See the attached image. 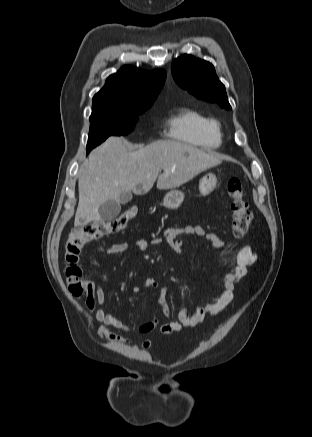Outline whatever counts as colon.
<instances>
[{
    "mask_svg": "<svg viewBox=\"0 0 312 437\" xmlns=\"http://www.w3.org/2000/svg\"><path fill=\"white\" fill-rule=\"evenodd\" d=\"M227 194L231 201L232 230L237 238L244 237L252 223V215L244 198L242 181L233 177L227 184ZM137 214V208L130 206L109 220H95L75 228L68 236L63 249L67 289L74 298L84 297L88 291V281L83 278L80 266L84 247L105 235L122 230Z\"/></svg>",
    "mask_w": 312,
    "mask_h": 437,
    "instance_id": "colon-1",
    "label": "colon"
}]
</instances>
